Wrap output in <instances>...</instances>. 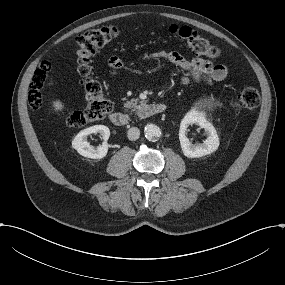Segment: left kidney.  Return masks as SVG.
I'll use <instances>...</instances> for the list:
<instances>
[{"label":"left kidney","mask_w":285,"mask_h":285,"mask_svg":"<svg viewBox=\"0 0 285 285\" xmlns=\"http://www.w3.org/2000/svg\"><path fill=\"white\" fill-rule=\"evenodd\" d=\"M197 124L207 134V139L199 145H193L186 136L188 123L182 122L179 130V140L183 154L189 158L202 157L215 152L219 146V137L214 126L206 119H200Z\"/></svg>","instance_id":"left-kidney-1"}]
</instances>
